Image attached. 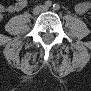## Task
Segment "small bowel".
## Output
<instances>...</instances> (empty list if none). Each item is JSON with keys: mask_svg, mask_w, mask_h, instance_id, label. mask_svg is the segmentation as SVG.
Returning a JSON list of instances; mask_svg holds the SVG:
<instances>
[{"mask_svg": "<svg viewBox=\"0 0 91 91\" xmlns=\"http://www.w3.org/2000/svg\"><path fill=\"white\" fill-rule=\"evenodd\" d=\"M26 4H27L26 0H17L13 4L7 6L5 8V11L9 13L17 12L25 8ZM89 8H90L89 2L84 1L76 6V11L79 14H84L89 10Z\"/></svg>", "mask_w": 91, "mask_h": 91, "instance_id": "obj_1", "label": "small bowel"}]
</instances>
